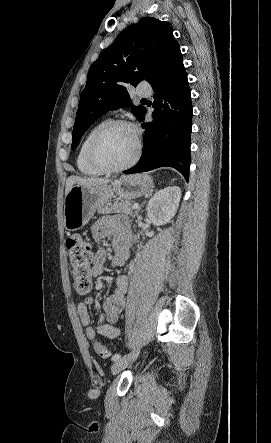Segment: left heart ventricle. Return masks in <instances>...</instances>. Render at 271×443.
Returning a JSON list of instances; mask_svg holds the SVG:
<instances>
[{
  "label": "left heart ventricle",
  "mask_w": 271,
  "mask_h": 443,
  "mask_svg": "<svg viewBox=\"0 0 271 443\" xmlns=\"http://www.w3.org/2000/svg\"><path fill=\"white\" fill-rule=\"evenodd\" d=\"M135 150V138L126 127L118 126L109 130L97 148V154L105 164L116 167L127 162Z\"/></svg>",
  "instance_id": "1"
}]
</instances>
